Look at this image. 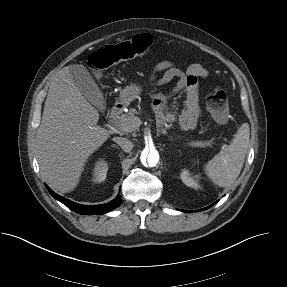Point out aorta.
<instances>
[{
  "instance_id": "aorta-1",
  "label": "aorta",
  "mask_w": 287,
  "mask_h": 287,
  "mask_svg": "<svg viewBox=\"0 0 287 287\" xmlns=\"http://www.w3.org/2000/svg\"><path fill=\"white\" fill-rule=\"evenodd\" d=\"M140 160L143 165L154 167L159 162V153L154 148L144 149L141 152Z\"/></svg>"
}]
</instances>
